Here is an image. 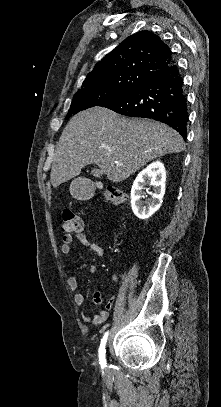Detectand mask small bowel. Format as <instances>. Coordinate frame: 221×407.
Here are the masks:
<instances>
[{
    "mask_svg": "<svg viewBox=\"0 0 221 407\" xmlns=\"http://www.w3.org/2000/svg\"><path fill=\"white\" fill-rule=\"evenodd\" d=\"M75 239L81 243L83 246H85L86 248H88L89 250H91L92 252H94L98 257H102L104 255V250L101 246H99L98 244L89 241V239L87 238V236L83 233H79L75 235ZM72 243H73V237L70 235H65L62 237V242H61V253L66 256L69 257L72 255ZM82 269L86 272H89L91 274H96L98 272V269L95 265L92 264H83L82 265ZM119 278V274L116 273L112 276L113 280H118ZM66 284L67 287L70 291L74 292L76 291L77 287H78V282L77 279L74 276H68L66 279ZM86 300V296L83 292H77L74 294L73 296V302L75 306H82L85 303ZM103 302L101 293L98 290H95L93 293V303L96 306H100ZM113 300H110L107 304H106V309H110L113 305ZM82 320L84 322H92L93 324H101L106 320L107 317V313L106 311H102L100 312L98 315L96 316H90L88 314L83 313L81 315Z\"/></svg>",
    "mask_w": 221,
    "mask_h": 407,
    "instance_id": "c3829d8e",
    "label": "small bowel"
}]
</instances>
